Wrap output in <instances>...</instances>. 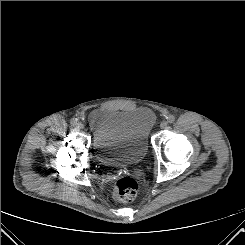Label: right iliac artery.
Segmentation results:
<instances>
[{"label": "right iliac artery", "instance_id": "right-iliac-artery-1", "mask_svg": "<svg viewBox=\"0 0 245 245\" xmlns=\"http://www.w3.org/2000/svg\"><path fill=\"white\" fill-rule=\"evenodd\" d=\"M76 122H77V119H76V118H72V119L70 120V124H71V125H75Z\"/></svg>", "mask_w": 245, "mask_h": 245}]
</instances>
